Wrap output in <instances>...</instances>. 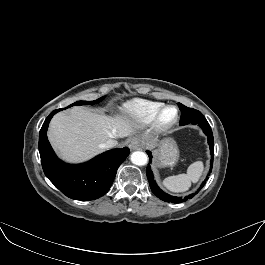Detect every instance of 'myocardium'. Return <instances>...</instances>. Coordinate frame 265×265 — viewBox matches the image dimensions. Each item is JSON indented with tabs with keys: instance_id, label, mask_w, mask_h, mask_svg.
Here are the masks:
<instances>
[{
	"instance_id": "obj_1",
	"label": "myocardium",
	"mask_w": 265,
	"mask_h": 265,
	"mask_svg": "<svg viewBox=\"0 0 265 265\" xmlns=\"http://www.w3.org/2000/svg\"><path fill=\"white\" fill-rule=\"evenodd\" d=\"M169 109L174 110V112H175L174 116L169 120H165L164 114ZM178 118H179V111H178V108L176 106H174V105H163L160 108V110L157 112V114L155 115V117L152 121L153 129L156 132H165L176 124V122L178 121Z\"/></svg>"
}]
</instances>
